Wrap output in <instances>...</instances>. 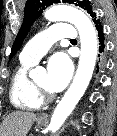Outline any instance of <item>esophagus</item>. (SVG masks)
Returning a JSON list of instances; mask_svg holds the SVG:
<instances>
[{"mask_svg":"<svg viewBox=\"0 0 117 136\" xmlns=\"http://www.w3.org/2000/svg\"><path fill=\"white\" fill-rule=\"evenodd\" d=\"M48 117L47 113H43L40 115V119H46Z\"/></svg>","mask_w":117,"mask_h":136,"instance_id":"1","label":"esophagus"}]
</instances>
